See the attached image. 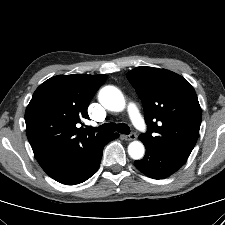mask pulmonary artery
Masks as SVG:
<instances>
[{
    "label": "pulmonary artery",
    "instance_id": "obj_1",
    "mask_svg": "<svg viewBox=\"0 0 225 225\" xmlns=\"http://www.w3.org/2000/svg\"><path fill=\"white\" fill-rule=\"evenodd\" d=\"M127 111H128L130 118L132 119L134 125L136 126V128L141 131L145 130V127H146L145 121L142 118L140 111L136 107V105L133 103H129L127 105Z\"/></svg>",
    "mask_w": 225,
    "mask_h": 225
}]
</instances>
